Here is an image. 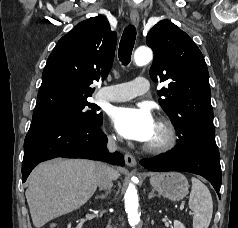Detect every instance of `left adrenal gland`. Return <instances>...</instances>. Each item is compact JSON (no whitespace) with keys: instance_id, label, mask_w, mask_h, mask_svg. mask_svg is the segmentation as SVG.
<instances>
[{"instance_id":"a2214340","label":"left adrenal gland","mask_w":238,"mask_h":228,"mask_svg":"<svg viewBox=\"0 0 238 228\" xmlns=\"http://www.w3.org/2000/svg\"><path fill=\"white\" fill-rule=\"evenodd\" d=\"M155 196H156V194L154 193V190H152V191L149 193L148 198H149V199H152V198L155 197Z\"/></svg>"}]
</instances>
